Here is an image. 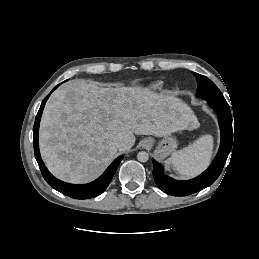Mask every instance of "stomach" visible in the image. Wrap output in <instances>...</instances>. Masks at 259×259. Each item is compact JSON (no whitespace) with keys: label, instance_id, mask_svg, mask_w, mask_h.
<instances>
[{"label":"stomach","instance_id":"1","mask_svg":"<svg viewBox=\"0 0 259 259\" xmlns=\"http://www.w3.org/2000/svg\"><path fill=\"white\" fill-rule=\"evenodd\" d=\"M178 146L177 140L174 136L168 135L165 136L158 142V146L155 150L156 158L162 160L166 158L168 155L173 153Z\"/></svg>","mask_w":259,"mask_h":259}]
</instances>
